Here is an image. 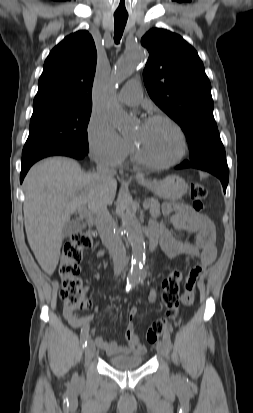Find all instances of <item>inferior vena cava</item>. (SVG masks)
<instances>
[{"mask_svg": "<svg viewBox=\"0 0 253 413\" xmlns=\"http://www.w3.org/2000/svg\"><path fill=\"white\" fill-rule=\"evenodd\" d=\"M97 174L100 178L110 180L116 174L115 169L109 168L103 163L97 164ZM96 227L103 244L109 249L114 264V274L120 275L126 265V250L124 244L116 230V224L110 215L107 207H104L98 214Z\"/></svg>", "mask_w": 253, "mask_h": 413, "instance_id": "inferior-vena-cava-1", "label": "inferior vena cava"}]
</instances>
